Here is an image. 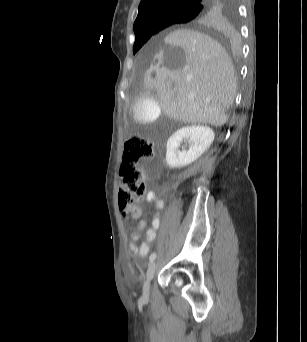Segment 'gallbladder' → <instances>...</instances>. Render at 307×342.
<instances>
[{
    "instance_id": "obj_1",
    "label": "gallbladder",
    "mask_w": 307,
    "mask_h": 342,
    "mask_svg": "<svg viewBox=\"0 0 307 342\" xmlns=\"http://www.w3.org/2000/svg\"><path fill=\"white\" fill-rule=\"evenodd\" d=\"M138 103H134L133 118L136 123H155L159 113L157 109L160 107L155 99L150 95H140Z\"/></svg>"
}]
</instances>
